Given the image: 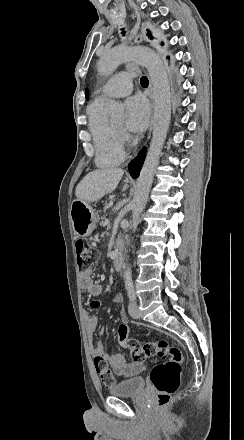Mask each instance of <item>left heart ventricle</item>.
<instances>
[{
  "mask_svg": "<svg viewBox=\"0 0 244 440\" xmlns=\"http://www.w3.org/2000/svg\"><path fill=\"white\" fill-rule=\"evenodd\" d=\"M122 122L121 120H114V121H110L108 122L109 125H111L112 127L118 129L122 126Z\"/></svg>",
  "mask_w": 244,
  "mask_h": 440,
  "instance_id": "1",
  "label": "left heart ventricle"
}]
</instances>
